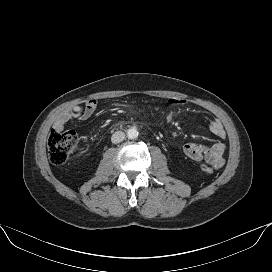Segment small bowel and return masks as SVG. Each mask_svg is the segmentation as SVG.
Here are the masks:
<instances>
[{"mask_svg": "<svg viewBox=\"0 0 272 272\" xmlns=\"http://www.w3.org/2000/svg\"><path fill=\"white\" fill-rule=\"evenodd\" d=\"M171 105L182 106L186 104L184 99L174 98L169 101ZM97 107L95 99L87 100L83 106L75 105L58 117L54 123V128L57 131H63L65 126L73 120L85 121L89 119ZM210 132L216 136L219 141L210 147L187 143L183 147L184 154L193 161H205L214 169H220L225 163L226 132L220 120H212L209 124Z\"/></svg>", "mask_w": 272, "mask_h": 272, "instance_id": "1", "label": "small bowel"}]
</instances>
